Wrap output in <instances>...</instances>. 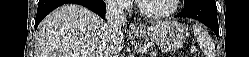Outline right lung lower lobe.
Instances as JSON below:
<instances>
[{
    "instance_id": "1",
    "label": "right lung lower lobe",
    "mask_w": 249,
    "mask_h": 57,
    "mask_svg": "<svg viewBox=\"0 0 249 57\" xmlns=\"http://www.w3.org/2000/svg\"><path fill=\"white\" fill-rule=\"evenodd\" d=\"M66 3L83 5L105 19L106 6L102 0H39L35 28H37L38 24L47 14Z\"/></svg>"
}]
</instances>
